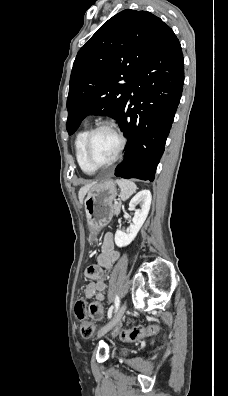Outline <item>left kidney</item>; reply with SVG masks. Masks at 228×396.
Wrapping results in <instances>:
<instances>
[{"mask_svg": "<svg viewBox=\"0 0 228 396\" xmlns=\"http://www.w3.org/2000/svg\"><path fill=\"white\" fill-rule=\"evenodd\" d=\"M151 199L152 196L149 190H142L132 198L129 203V208L135 211L133 223L130 225L127 233L120 230L116 231L115 244L118 247H125L135 239L148 216ZM138 204L140 205V209H135Z\"/></svg>", "mask_w": 228, "mask_h": 396, "instance_id": "5707ae66", "label": "left kidney"}]
</instances>
